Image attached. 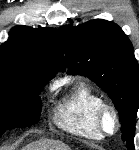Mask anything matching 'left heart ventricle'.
<instances>
[{
  "label": "left heart ventricle",
  "instance_id": "b2bd125f",
  "mask_svg": "<svg viewBox=\"0 0 139 150\" xmlns=\"http://www.w3.org/2000/svg\"><path fill=\"white\" fill-rule=\"evenodd\" d=\"M104 126L105 129L109 132L112 133L115 129V121L111 113H107L104 117Z\"/></svg>",
  "mask_w": 139,
  "mask_h": 150
}]
</instances>
